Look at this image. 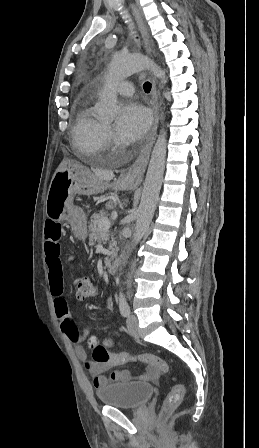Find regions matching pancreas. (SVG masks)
I'll list each match as a JSON object with an SVG mask.
<instances>
[{
  "instance_id": "cf45deb5",
  "label": "pancreas",
  "mask_w": 259,
  "mask_h": 448,
  "mask_svg": "<svg viewBox=\"0 0 259 448\" xmlns=\"http://www.w3.org/2000/svg\"><path fill=\"white\" fill-rule=\"evenodd\" d=\"M106 214L101 210L100 214H93L91 216V220L89 222V240L91 244H95V242H108L111 238L110 242V248L112 256L110 258H106V264H109V262H112L114 258H117L118 254V248H117V242H115L116 238H113V234H110L109 230H99L98 224L101 220V218H105Z\"/></svg>"
}]
</instances>
